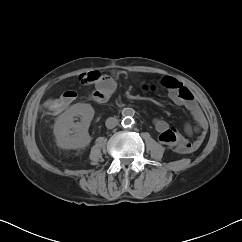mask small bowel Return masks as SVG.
<instances>
[{
  "mask_svg": "<svg viewBox=\"0 0 242 242\" xmlns=\"http://www.w3.org/2000/svg\"><path fill=\"white\" fill-rule=\"evenodd\" d=\"M96 72H90L85 74V78H88L91 74ZM89 83L95 84L94 93L99 91H105L110 96L116 89V82L112 76L99 75V78ZM161 87L168 91L169 98L177 105L184 106L191 114L195 125L191 126L187 124L184 128L185 133L188 135L196 134L197 137L190 141L181 135L175 128L170 127L169 124L160 118L154 119V126L159 133V141L168 146H173L177 152L181 154H187L197 150L204 141L207 132V121L205 116L197 103L193 93L177 79L166 76L160 82ZM69 95V105L74 100V93L72 91L66 92ZM103 101V100H98Z\"/></svg>",
  "mask_w": 242,
  "mask_h": 242,
  "instance_id": "c3829d8e",
  "label": "small bowel"
}]
</instances>
